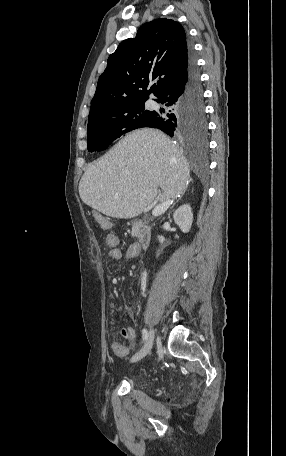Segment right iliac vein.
Segmentation results:
<instances>
[{"mask_svg": "<svg viewBox=\"0 0 286 456\" xmlns=\"http://www.w3.org/2000/svg\"><path fill=\"white\" fill-rule=\"evenodd\" d=\"M154 337H155V331H154V329L151 328L144 346L141 348L140 351H138L135 355L132 356L131 362H137V361L141 360L150 352V350L153 346Z\"/></svg>", "mask_w": 286, "mask_h": 456, "instance_id": "63e3f726", "label": "right iliac vein"}]
</instances>
